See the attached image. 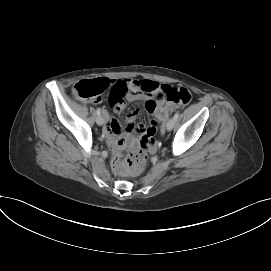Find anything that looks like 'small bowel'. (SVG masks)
Here are the masks:
<instances>
[{
    "label": "small bowel",
    "instance_id": "c3829d8e",
    "mask_svg": "<svg viewBox=\"0 0 271 271\" xmlns=\"http://www.w3.org/2000/svg\"><path fill=\"white\" fill-rule=\"evenodd\" d=\"M107 86V93L110 95V103L112 104L113 114L121 113L125 108V100L127 101H144L145 108L149 113L154 114L157 127L159 121H163L167 118L168 109L173 105L169 102H165L163 98H159L158 95L163 91L165 84H160L152 80H134L127 79L111 80ZM157 97L156 99L154 97ZM106 117V123L104 126V134L108 143L112 146L118 147L124 145L127 141L132 140V133L135 132L137 136H141L147 133L149 127L139 124L134 126V122L137 116V112L134 111L128 114L126 118V134L121 135V128L117 120L113 116H109L104 111ZM157 130V129H156Z\"/></svg>",
    "mask_w": 271,
    "mask_h": 271
}]
</instances>
